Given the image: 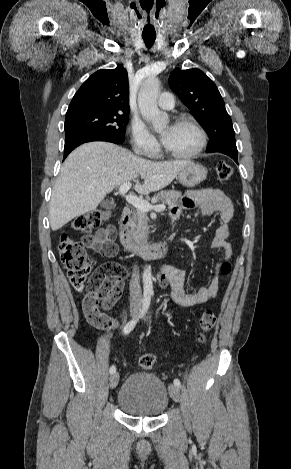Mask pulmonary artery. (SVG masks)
Here are the masks:
<instances>
[{
    "mask_svg": "<svg viewBox=\"0 0 291 469\" xmlns=\"http://www.w3.org/2000/svg\"><path fill=\"white\" fill-rule=\"evenodd\" d=\"M158 105L162 109L170 110L174 107V97L169 92H163L158 98Z\"/></svg>",
    "mask_w": 291,
    "mask_h": 469,
    "instance_id": "1",
    "label": "pulmonary artery"
}]
</instances>
